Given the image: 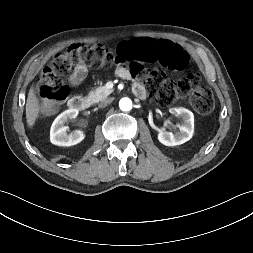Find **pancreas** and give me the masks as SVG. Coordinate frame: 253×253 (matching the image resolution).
Returning <instances> with one entry per match:
<instances>
[{
  "label": "pancreas",
  "instance_id": "pancreas-1",
  "mask_svg": "<svg viewBox=\"0 0 253 253\" xmlns=\"http://www.w3.org/2000/svg\"><path fill=\"white\" fill-rule=\"evenodd\" d=\"M113 92V89H107L105 86H100L95 90H92L88 94V98L93 102H98L102 99L107 98Z\"/></svg>",
  "mask_w": 253,
  "mask_h": 253
}]
</instances>
